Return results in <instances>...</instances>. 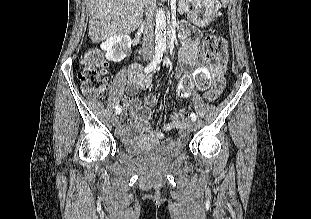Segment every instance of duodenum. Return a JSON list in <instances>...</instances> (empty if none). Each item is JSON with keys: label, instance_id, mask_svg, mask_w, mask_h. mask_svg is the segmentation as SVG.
Returning a JSON list of instances; mask_svg holds the SVG:
<instances>
[{"label": "duodenum", "instance_id": "1", "mask_svg": "<svg viewBox=\"0 0 311 219\" xmlns=\"http://www.w3.org/2000/svg\"><path fill=\"white\" fill-rule=\"evenodd\" d=\"M171 28H172V26H171ZM171 38H172V37H171ZM135 42L138 43V42H139V38H136Z\"/></svg>", "mask_w": 311, "mask_h": 219}]
</instances>
